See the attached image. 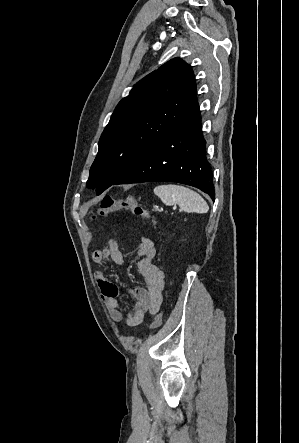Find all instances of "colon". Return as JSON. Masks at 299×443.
<instances>
[{"instance_id": "1", "label": "colon", "mask_w": 299, "mask_h": 443, "mask_svg": "<svg viewBox=\"0 0 299 443\" xmlns=\"http://www.w3.org/2000/svg\"><path fill=\"white\" fill-rule=\"evenodd\" d=\"M118 211H127L145 218H152L149 211L140 204L135 196H128L123 199H114L111 196H104L94 213V217H104ZM163 315V312H160L153 318L150 323L151 329L161 326Z\"/></svg>"}]
</instances>
